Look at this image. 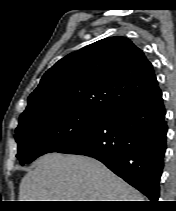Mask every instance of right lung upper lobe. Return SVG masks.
<instances>
[{
	"instance_id": "obj_1",
	"label": "right lung upper lobe",
	"mask_w": 176,
	"mask_h": 211,
	"mask_svg": "<svg viewBox=\"0 0 176 211\" xmlns=\"http://www.w3.org/2000/svg\"><path fill=\"white\" fill-rule=\"evenodd\" d=\"M152 64L126 37H109L67 55L28 97L20 118L49 109L109 114L159 91Z\"/></svg>"
}]
</instances>
